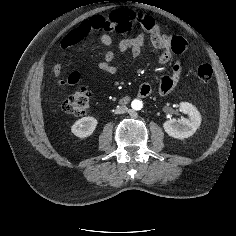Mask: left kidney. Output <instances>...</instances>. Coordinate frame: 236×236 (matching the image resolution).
I'll return each instance as SVG.
<instances>
[{
    "label": "left kidney",
    "mask_w": 236,
    "mask_h": 236,
    "mask_svg": "<svg viewBox=\"0 0 236 236\" xmlns=\"http://www.w3.org/2000/svg\"><path fill=\"white\" fill-rule=\"evenodd\" d=\"M180 111L188 116L178 120L170 119L163 124L165 132L176 139H185L192 136L201 125V115L197 108L188 103L181 102Z\"/></svg>",
    "instance_id": "obj_1"
}]
</instances>
